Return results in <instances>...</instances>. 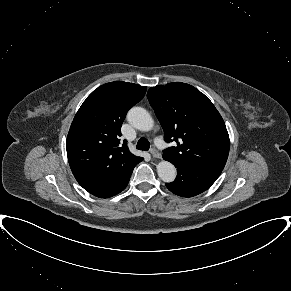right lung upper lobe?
I'll return each mask as SVG.
<instances>
[{
    "label": "right lung upper lobe",
    "instance_id": "1",
    "mask_svg": "<svg viewBox=\"0 0 291 291\" xmlns=\"http://www.w3.org/2000/svg\"><path fill=\"white\" fill-rule=\"evenodd\" d=\"M147 88L123 81L94 90L71 124L66 148L70 168L78 183L99 198L124 190L136 164L143 158L131 154L121 126L127 111L139 102Z\"/></svg>",
    "mask_w": 291,
    "mask_h": 291
}]
</instances>
